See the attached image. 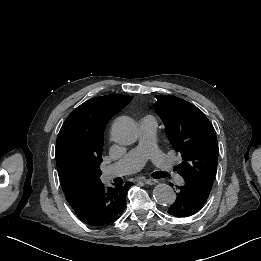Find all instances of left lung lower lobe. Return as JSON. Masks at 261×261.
Listing matches in <instances>:
<instances>
[{
  "mask_svg": "<svg viewBox=\"0 0 261 261\" xmlns=\"http://www.w3.org/2000/svg\"><path fill=\"white\" fill-rule=\"evenodd\" d=\"M184 184L177 186V198L168 213L175 217H189L197 213L207 201L211 187L192 177H183Z\"/></svg>",
  "mask_w": 261,
  "mask_h": 261,
  "instance_id": "obj_1",
  "label": "left lung lower lobe"
}]
</instances>
